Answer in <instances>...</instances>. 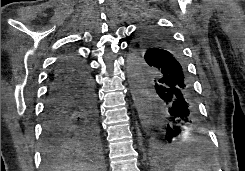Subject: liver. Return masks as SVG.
I'll list each match as a JSON object with an SVG mask.
<instances>
[{"mask_svg": "<svg viewBox=\"0 0 245 171\" xmlns=\"http://www.w3.org/2000/svg\"><path fill=\"white\" fill-rule=\"evenodd\" d=\"M50 171H98V168L86 162L73 160L59 164Z\"/></svg>", "mask_w": 245, "mask_h": 171, "instance_id": "obj_1", "label": "liver"}]
</instances>
